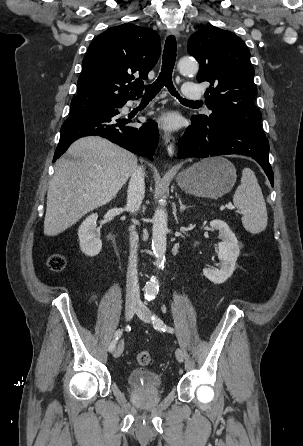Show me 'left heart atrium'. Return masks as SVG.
I'll list each match as a JSON object with an SVG mask.
<instances>
[{
  "label": "left heart atrium",
  "mask_w": 303,
  "mask_h": 446,
  "mask_svg": "<svg viewBox=\"0 0 303 446\" xmlns=\"http://www.w3.org/2000/svg\"><path fill=\"white\" fill-rule=\"evenodd\" d=\"M160 122L167 128H175L178 124V119L174 114H168L162 117Z\"/></svg>",
  "instance_id": "obj_1"
}]
</instances>
